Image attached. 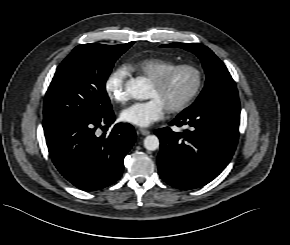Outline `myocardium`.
I'll use <instances>...</instances> for the list:
<instances>
[{"label":"myocardium","mask_w":290,"mask_h":245,"mask_svg":"<svg viewBox=\"0 0 290 245\" xmlns=\"http://www.w3.org/2000/svg\"><path fill=\"white\" fill-rule=\"evenodd\" d=\"M180 70H190L196 75V82L192 90L188 95L183 98L179 103L169 107L167 111L169 113H179L186 109L198 96L203 86L204 75L201 68L195 64H175L174 66L165 70L162 74L152 80V84L158 89H162L167 85L171 77Z\"/></svg>","instance_id":"obj_1"}]
</instances>
